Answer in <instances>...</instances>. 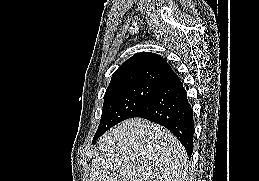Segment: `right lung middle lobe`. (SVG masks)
Instances as JSON below:
<instances>
[{
    "instance_id": "dd1d6c3e",
    "label": "right lung middle lobe",
    "mask_w": 259,
    "mask_h": 181,
    "mask_svg": "<svg viewBox=\"0 0 259 181\" xmlns=\"http://www.w3.org/2000/svg\"><path fill=\"white\" fill-rule=\"evenodd\" d=\"M157 84H134L107 89L101 122L94 137L102 135L119 122L133 117L155 94Z\"/></svg>"
}]
</instances>
